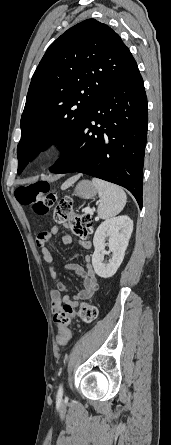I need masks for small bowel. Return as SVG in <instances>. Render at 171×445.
<instances>
[{"instance_id":"small-bowel-1","label":"small bowel","mask_w":171,"mask_h":445,"mask_svg":"<svg viewBox=\"0 0 171 445\" xmlns=\"http://www.w3.org/2000/svg\"><path fill=\"white\" fill-rule=\"evenodd\" d=\"M59 231L60 228L58 226H52L48 231L40 233L37 237V244L41 248L43 259L48 265L50 276L57 285V288L51 290L50 292L51 309L54 315L60 313L65 308L75 310L79 306L80 302L92 300L98 290V282L95 272L92 268L91 257L90 255H86L85 266L79 264H69L66 266V269L68 271H72L79 276L83 285V289L77 292L74 295L73 299H71L70 296L66 294L67 288L60 280L53 266L54 257L51 250L47 247V243H49L53 239V237L59 233ZM72 241L73 238L70 235H65L62 237V242L64 244H70ZM82 246L84 249L90 248V245L87 242H82ZM58 331H60L59 327ZM67 331L69 340L71 338V331L68 329V327Z\"/></svg>"}]
</instances>
